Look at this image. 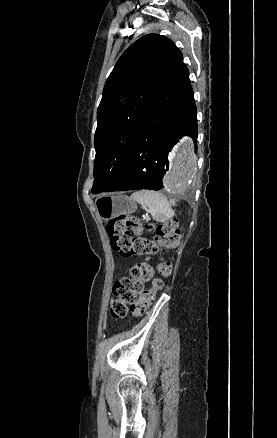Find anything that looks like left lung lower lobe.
Instances as JSON below:
<instances>
[{
	"instance_id": "0a47b994",
	"label": "left lung lower lobe",
	"mask_w": 277,
	"mask_h": 438,
	"mask_svg": "<svg viewBox=\"0 0 277 438\" xmlns=\"http://www.w3.org/2000/svg\"><path fill=\"white\" fill-rule=\"evenodd\" d=\"M189 135L196 143V114L181 112L162 99L150 98L142 109L129 158L115 182L103 192L159 190L168 170V153Z\"/></svg>"
}]
</instances>
